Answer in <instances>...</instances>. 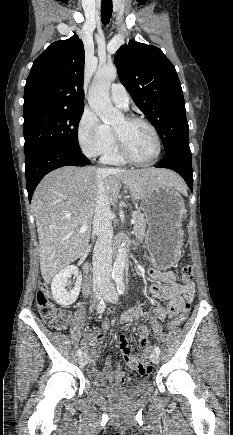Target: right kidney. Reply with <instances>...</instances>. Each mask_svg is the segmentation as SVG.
<instances>
[{
  "label": "right kidney",
  "mask_w": 233,
  "mask_h": 435,
  "mask_svg": "<svg viewBox=\"0 0 233 435\" xmlns=\"http://www.w3.org/2000/svg\"><path fill=\"white\" fill-rule=\"evenodd\" d=\"M77 277L75 287L67 291L65 288L68 285V279L72 276ZM82 283V275L76 266H67L62 269L52 280L51 290L54 300L61 306H69L73 304L80 293Z\"/></svg>",
  "instance_id": "ca27d5eb"
}]
</instances>
